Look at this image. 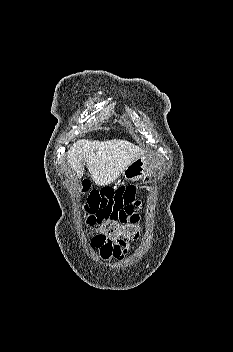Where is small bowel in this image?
<instances>
[{
    "mask_svg": "<svg viewBox=\"0 0 233 352\" xmlns=\"http://www.w3.org/2000/svg\"><path fill=\"white\" fill-rule=\"evenodd\" d=\"M81 191L87 194L83 209L88 213L90 223L106 219H115L122 223L139 222L140 201L136 197L134 185L94 189L89 183L84 182ZM91 244L105 260L122 259L127 251L124 241H105L95 237Z\"/></svg>",
    "mask_w": 233,
    "mask_h": 352,
    "instance_id": "obj_1",
    "label": "small bowel"
}]
</instances>
